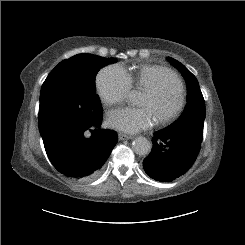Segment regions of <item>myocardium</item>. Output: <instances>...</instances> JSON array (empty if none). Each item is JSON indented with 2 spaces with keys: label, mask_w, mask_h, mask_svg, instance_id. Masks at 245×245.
Segmentation results:
<instances>
[{
  "label": "myocardium",
  "mask_w": 245,
  "mask_h": 245,
  "mask_svg": "<svg viewBox=\"0 0 245 245\" xmlns=\"http://www.w3.org/2000/svg\"><path fill=\"white\" fill-rule=\"evenodd\" d=\"M163 75L169 77L173 83L174 104L168 111L155 116V120L158 124H166L175 119L182 110L184 104L183 93L179 87L180 83L176 73L171 70H166ZM168 88L166 83L159 82L157 85L149 87L145 91L158 100L167 92Z\"/></svg>",
  "instance_id": "1"
}]
</instances>
